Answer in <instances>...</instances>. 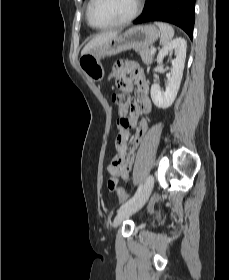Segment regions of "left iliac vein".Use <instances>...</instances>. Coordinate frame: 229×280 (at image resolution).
I'll use <instances>...</instances> for the list:
<instances>
[{
	"mask_svg": "<svg viewBox=\"0 0 229 280\" xmlns=\"http://www.w3.org/2000/svg\"><path fill=\"white\" fill-rule=\"evenodd\" d=\"M154 186V178L149 175L139 197L130 205L119 210L113 221V227L117 228L126 218L139 211L149 199Z\"/></svg>",
	"mask_w": 229,
	"mask_h": 280,
	"instance_id": "4c4485c4",
	"label": "left iliac vein"
}]
</instances>
